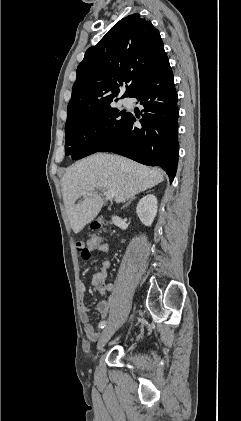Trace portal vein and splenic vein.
<instances>
[{
	"instance_id": "portal-vein-and-splenic-vein-1",
	"label": "portal vein and splenic vein",
	"mask_w": 241,
	"mask_h": 421,
	"mask_svg": "<svg viewBox=\"0 0 241 421\" xmlns=\"http://www.w3.org/2000/svg\"><path fill=\"white\" fill-rule=\"evenodd\" d=\"M103 194L106 196V199H113L115 196V193L113 191H102ZM84 194H86V192H84Z\"/></svg>"
}]
</instances>
